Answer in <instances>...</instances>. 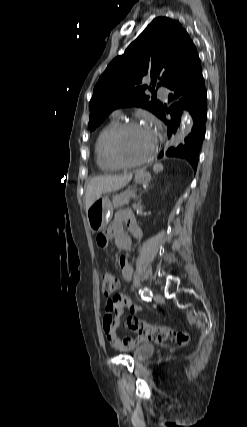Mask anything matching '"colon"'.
<instances>
[{
  "label": "colon",
  "instance_id": "5ec220e1",
  "mask_svg": "<svg viewBox=\"0 0 247 427\" xmlns=\"http://www.w3.org/2000/svg\"><path fill=\"white\" fill-rule=\"evenodd\" d=\"M118 288L117 276L105 271L102 274V292L105 295H110ZM127 327L130 331L137 333L145 340H153L158 342L174 341L178 345H184L189 341V334L185 331L177 330L169 326H157L144 322L136 317L127 319Z\"/></svg>",
  "mask_w": 247,
  "mask_h": 427
}]
</instances>
